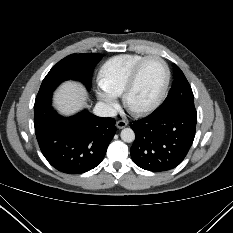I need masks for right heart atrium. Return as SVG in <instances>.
Returning a JSON list of instances; mask_svg holds the SVG:
<instances>
[{
	"label": "right heart atrium",
	"mask_w": 233,
	"mask_h": 233,
	"mask_svg": "<svg viewBox=\"0 0 233 233\" xmlns=\"http://www.w3.org/2000/svg\"><path fill=\"white\" fill-rule=\"evenodd\" d=\"M97 97L105 104L108 110L110 111L116 110L118 106L116 95L106 91H99L97 93Z\"/></svg>",
	"instance_id": "d8ad5b80"
}]
</instances>
